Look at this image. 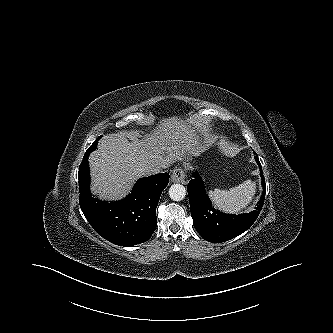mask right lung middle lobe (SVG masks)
<instances>
[{
    "mask_svg": "<svg viewBox=\"0 0 333 333\" xmlns=\"http://www.w3.org/2000/svg\"><path fill=\"white\" fill-rule=\"evenodd\" d=\"M98 139L88 148V150L86 152L90 153L91 151L96 149Z\"/></svg>",
    "mask_w": 333,
    "mask_h": 333,
    "instance_id": "dd1d6c3e",
    "label": "right lung middle lobe"
}]
</instances>
